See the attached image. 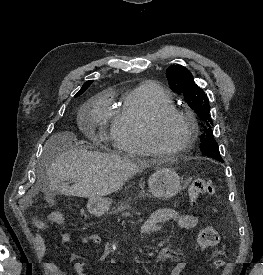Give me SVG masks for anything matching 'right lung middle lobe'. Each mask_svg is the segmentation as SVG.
<instances>
[{"label": "right lung middle lobe", "instance_id": "right-lung-middle-lobe-1", "mask_svg": "<svg viewBox=\"0 0 263 275\" xmlns=\"http://www.w3.org/2000/svg\"><path fill=\"white\" fill-rule=\"evenodd\" d=\"M86 89H87V87L84 90L80 91L78 94H76V96L81 95Z\"/></svg>", "mask_w": 263, "mask_h": 275}]
</instances>
